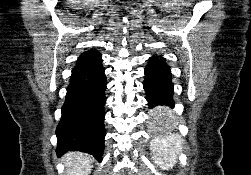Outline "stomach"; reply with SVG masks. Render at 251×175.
Segmentation results:
<instances>
[{"instance_id": "1", "label": "stomach", "mask_w": 251, "mask_h": 175, "mask_svg": "<svg viewBox=\"0 0 251 175\" xmlns=\"http://www.w3.org/2000/svg\"><path fill=\"white\" fill-rule=\"evenodd\" d=\"M161 118V114H151V119ZM148 128H169V123H148ZM157 134H177V129H157Z\"/></svg>"}]
</instances>
